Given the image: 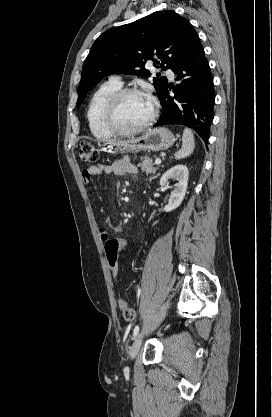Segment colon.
Returning <instances> with one entry per match:
<instances>
[{
  "label": "colon",
  "instance_id": "1",
  "mask_svg": "<svg viewBox=\"0 0 272 417\" xmlns=\"http://www.w3.org/2000/svg\"><path fill=\"white\" fill-rule=\"evenodd\" d=\"M81 160L89 163H94L99 159V152L95 145L89 141L82 142L79 150ZM128 246V240L125 238H110L105 242L104 251L108 262L109 270L114 279L119 273L118 254ZM120 309L124 319L128 321L135 320L137 317L136 311L129 306L126 300L120 299Z\"/></svg>",
  "mask_w": 272,
  "mask_h": 417
}]
</instances>
